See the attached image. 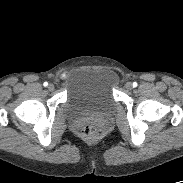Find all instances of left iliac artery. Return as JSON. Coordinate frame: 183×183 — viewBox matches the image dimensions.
Here are the masks:
<instances>
[{
  "label": "left iliac artery",
  "instance_id": "1",
  "mask_svg": "<svg viewBox=\"0 0 183 183\" xmlns=\"http://www.w3.org/2000/svg\"><path fill=\"white\" fill-rule=\"evenodd\" d=\"M137 82H133V87H137Z\"/></svg>",
  "mask_w": 183,
  "mask_h": 183
}]
</instances>
